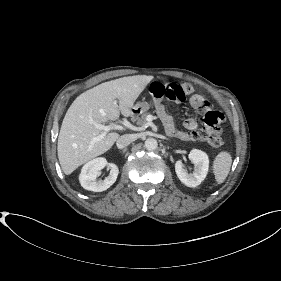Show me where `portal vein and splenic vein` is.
<instances>
[{
    "mask_svg": "<svg viewBox=\"0 0 281 281\" xmlns=\"http://www.w3.org/2000/svg\"><path fill=\"white\" fill-rule=\"evenodd\" d=\"M94 125L96 128L102 130V133L99 136L94 137L91 140V143H95L102 140L110 130H125V128L134 129V127L131 124L119 125V124L110 123L109 125H102V124L94 123Z\"/></svg>",
    "mask_w": 281,
    "mask_h": 281,
    "instance_id": "1",
    "label": "portal vein and splenic vein"
}]
</instances>
